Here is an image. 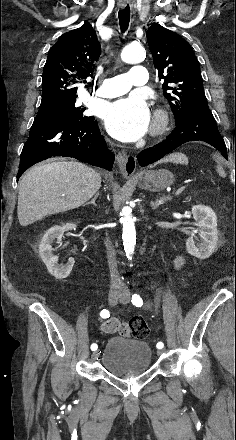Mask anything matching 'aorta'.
<instances>
[{
  "mask_svg": "<svg viewBox=\"0 0 236 440\" xmlns=\"http://www.w3.org/2000/svg\"><path fill=\"white\" fill-rule=\"evenodd\" d=\"M146 52L143 46L131 44L126 46L121 52V59L129 64L140 63L144 61ZM133 217L129 208H124L121 212V222L123 225V246L128 259H132L136 245V230Z\"/></svg>",
  "mask_w": 236,
  "mask_h": 440,
  "instance_id": "1",
  "label": "aorta"
}]
</instances>
